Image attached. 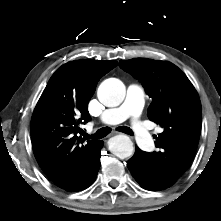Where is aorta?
<instances>
[{
    "label": "aorta",
    "mask_w": 221,
    "mask_h": 221,
    "mask_svg": "<svg viewBox=\"0 0 221 221\" xmlns=\"http://www.w3.org/2000/svg\"><path fill=\"white\" fill-rule=\"evenodd\" d=\"M125 86L116 78L104 80L98 87L99 101L107 107H116L125 98ZM109 150L117 157L124 159L132 156L134 147L131 139L126 135H117L110 139Z\"/></svg>",
    "instance_id": "762f6f07"
}]
</instances>
